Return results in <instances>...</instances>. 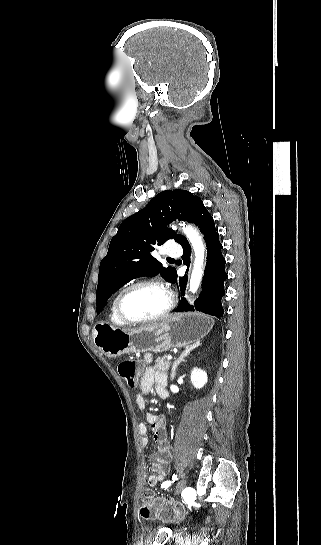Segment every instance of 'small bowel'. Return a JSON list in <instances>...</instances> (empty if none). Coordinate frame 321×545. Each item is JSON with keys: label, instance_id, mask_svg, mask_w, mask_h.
<instances>
[{"label": "small bowel", "instance_id": "small-bowel-1", "mask_svg": "<svg viewBox=\"0 0 321 545\" xmlns=\"http://www.w3.org/2000/svg\"><path fill=\"white\" fill-rule=\"evenodd\" d=\"M166 375L151 367L147 368L140 380L141 394L136 397V404L141 410H145L146 400L144 395H147L155 388L156 393L161 397L167 396L166 391ZM147 421L151 424L153 438L157 444L156 452L150 457L151 475L148 477V485L154 487L160 484L167 474L168 464L171 459V445L168 441L162 420L157 416L146 413ZM138 430L141 436V445L146 447L149 442L148 429L145 424L140 423Z\"/></svg>", "mask_w": 321, "mask_h": 545}]
</instances>
